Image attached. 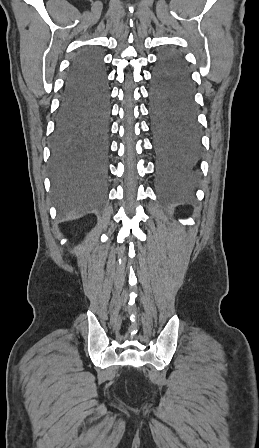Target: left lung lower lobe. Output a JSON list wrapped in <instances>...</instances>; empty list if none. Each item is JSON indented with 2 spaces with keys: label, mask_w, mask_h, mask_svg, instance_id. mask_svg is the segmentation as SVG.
I'll return each instance as SVG.
<instances>
[{
  "label": "left lung lower lobe",
  "mask_w": 259,
  "mask_h": 448,
  "mask_svg": "<svg viewBox=\"0 0 259 448\" xmlns=\"http://www.w3.org/2000/svg\"><path fill=\"white\" fill-rule=\"evenodd\" d=\"M150 132L158 174L168 187L192 184L202 154L194 90L184 59L162 54L149 88Z\"/></svg>",
  "instance_id": "0a47b994"
}]
</instances>
